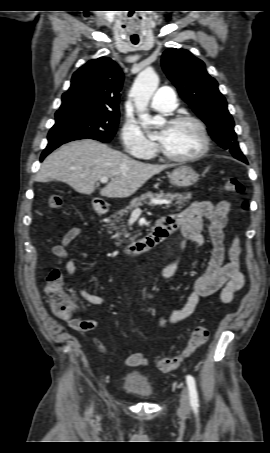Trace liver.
Segmentation results:
<instances>
[{"label": "liver", "instance_id": "liver-1", "mask_svg": "<svg viewBox=\"0 0 270 453\" xmlns=\"http://www.w3.org/2000/svg\"><path fill=\"white\" fill-rule=\"evenodd\" d=\"M170 165L147 164L91 139L70 142L51 153L42 163L35 180H58L76 192L90 195L102 177L111 181L100 190L108 198L133 195L152 176Z\"/></svg>", "mask_w": 270, "mask_h": 453}]
</instances>
